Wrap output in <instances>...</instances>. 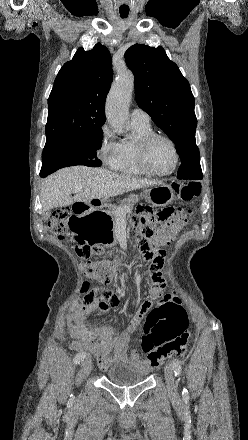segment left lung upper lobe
Listing matches in <instances>:
<instances>
[{
    "instance_id": "1",
    "label": "left lung upper lobe",
    "mask_w": 248,
    "mask_h": 440,
    "mask_svg": "<svg viewBox=\"0 0 248 440\" xmlns=\"http://www.w3.org/2000/svg\"><path fill=\"white\" fill-rule=\"evenodd\" d=\"M135 77L137 104L176 145L179 179H202L195 132L194 97L178 66L162 47L136 44L125 53Z\"/></svg>"
}]
</instances>
